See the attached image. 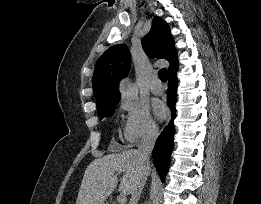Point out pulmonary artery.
I'll return each instance as SVG.
<instances>
[{"mask_svg": "<svg viewBox=\"0 0 261 204\" xmlns=\"http://www.w3.org/2000/svg\"><path fill=\"white\" fill-rule=\"evenodd\" d=\"M150 89L154 94H162L164 92V87L156 76L151 80Z\"/></svg>", "mask_w": 261, "mask_h": 204, "instance_id": "obj_1", "label": "pulmonary artery"}]
</instances>
